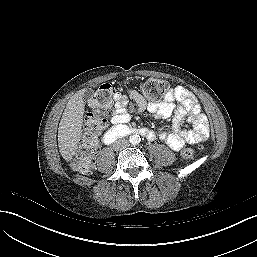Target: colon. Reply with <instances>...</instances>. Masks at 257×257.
I'll use <instances>...</instances> for the list:
<instances>
[{
	"mask_svg": "<svg viewBox=\"0 0 257 257\" xmlns=\"http://www.w3.org/2000/svg\"><path fill=\"white\" fill-rule=\"evenodd\" d=\"M167 89V82L158 79H149L141 87L143 96L149 102L159 101ZM114 99L115 90L109 84L101 86L90 98L89 107L92 113L86 121L81 145L71 162V167L74 170L82 173L91 171L98 137L107 122L108 116L113 113ZM195 155L196 150L192 147H187L181 152V157L186 161L192 160Z\"/></svg>",
	"mask_w": 257,
	"mask_h": 257,
	"instance_id": "1",
	"label": "colon"
}]
</instances>
